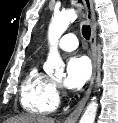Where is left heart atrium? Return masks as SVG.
Returning a JSON list of instances; mask_svg holds the SVG:
<instances>
[{
	"label": "left heart atrium",
	"instance_id": "1",
	"mask_svg": "<svg viewBox=\"0 0 118 123\" xmlns=\"http://www.w3.org/2000/svg\"><path fill=\"white\" fill-rule=\"evenodd\" d=\"M91 65L87 57L75 55L69 58L66 65L64 86L71 90L80 89L90 78Z\"/></svg>",
	"mask_w": 118,
	"mask_h": 123
}]
</instances>
